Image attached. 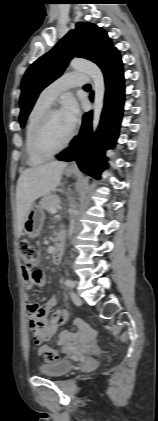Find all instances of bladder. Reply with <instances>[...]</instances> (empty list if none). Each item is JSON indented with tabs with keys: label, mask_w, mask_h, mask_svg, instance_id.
<instances>
[{
	"label": "bladder",
	"mask_w": 158,
	"mask_h": 421,
	"mask_svg": "<svg viewBox=\"0 0 158 421\" xmlns=\"http://www.w3.org/2000/svg\"><path fill=\"white\" fill-rule=\"evenodd\" d=\"M73 368V362L69 359H61L38 367V372L47 377L58 378L69 373Z\"/></svg>",
	"instance_id": "1"
}]
</instances>
